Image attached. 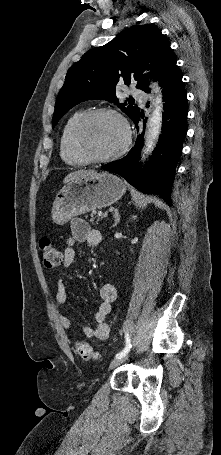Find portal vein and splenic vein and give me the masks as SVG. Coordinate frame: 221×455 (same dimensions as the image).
Returning a JSON list of instances; mask_svg holds the SVG:
<instances>
[{
	"instance_id": "18ae733b",
	"label": "portal vein and splenic vein",
	"mask_w": 221,
	"mask_h": 455,
	"mask_svg": "<svg viewBox=\"0 0 221 455\" xmlns=\"http://www.w3.org/2000/svg\"><path fill=\"white\" fill-rule=\"evenodd\" d=\"M98 216H99L100 218H105V217H106V215L102 214L101 212L98 213Z\"/></svg>"
}]
</instances>
